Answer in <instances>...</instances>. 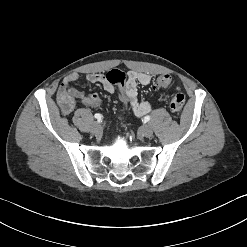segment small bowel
I'll use <instances>...</instances> for the list:
<instances>
[{"mask_svg":"<svg viewBox=\"0 0 247 247\" xmlns=\"http://www.w3.org/2000/svg\"><path fill=\"white\" fill-rule=\"evenodd\" d=\"M78 79L77 73H71L63 80L59 92L58 99L62 100L64 97H68L71 100V104L67 109H63V112L68 114L76 106V102H80L85 106L99 107L102 103L101 98L98 94H86L76 88L72 87L71 84ZM87 81L90 83H99L103 89L108 93L115 92L114 84L110 83L106 76L99 73H90L86 76ZM151 83V76L147 73H138L131 71L128 74L126 81L129 101L131 103L130 109L136 116H143L150 112L151 105L148 101H139L137 98V87L138 85L148 86ZM179 90V88H177Z\"/></svg>","mask_w":247,"mask_h":247,"instance_id":"obj_1","label":"small bowel"}]
</instances>
